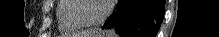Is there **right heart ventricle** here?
Segmentation results:
<instances>
[{
    "label": "right heart ventricle",
    "mask_w": 219,
    "mask_h": 37,
    "mask_svg": "<svg viewBox=\"0 0 219 37\" xmlns=\"http://www.w3.org/2000/svg\"><path fill=\"white\" fill-rule=\"evenodd\" d=\"M72 0H59L56 4V17L60 32L70 33L82 29L83 27L73 20L71 10Z\"/></svg>",
    "instance_id": "1"
}]
</instances>
